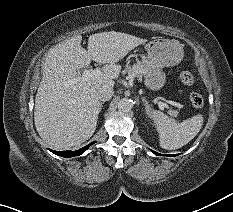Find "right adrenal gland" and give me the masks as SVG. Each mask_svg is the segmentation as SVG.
<instances>
[{
  "label": "right adrenal gland",
  "instance_id": "1",
  "mask_svg": "<svg viewBox=\"0 0 233 212\" xmlns=\"http://www.w3.org/2000/svg\"><path fill=\"white\" fill-rule=\"evenodd\" d=\"M104 102H101V107H103Z\"/></svg>",
  "mask_w": 233,
  "mask_h": 212
}]
</instances>
